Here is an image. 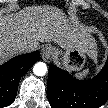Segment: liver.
Masks as SVG:
<instances>
[{"mask_svg": "<svg viewBox=\"0 0 108 108\" xmlns=\"http://www.w3.org/2000/svg\"><path fill=\"white\" fill-rule=\"evenodd\" d=\"M88 29L77 22L69 23L64 13L53 6H28L16 14L0 16V60L22 53L20 47L29 45L36 50L39 42H54L63 48H88L95 52Z\"/></svg>", "mask_w": 108, "mask_h": 108, "instance_id": "1", "label": "liver"}]
</instances>
